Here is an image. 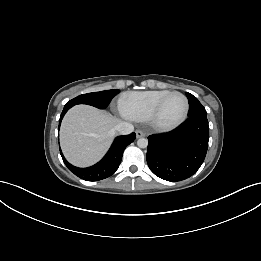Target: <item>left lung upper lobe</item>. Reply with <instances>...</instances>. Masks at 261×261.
Instances as JSON below:
<instances>
[{
  "label": "left lung upper lobe",
  "mask_w": 261,
  "mask_h": 261,
  "mask_svg": "<svg viewBox=\"0 0 261 261\" xmlns=\"http://www.w3.org/2000/svg\"><path fill=\"white\" fill-rule=\"evenodd\" d=\"M189 102V114L188 116H194L199 114L207 115L205 108L198 101V99L190 93H186Z\"/></svg>",
  "instance_id": "left-lung-upper-lobe-1"
}]
</instances>
